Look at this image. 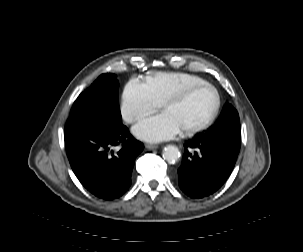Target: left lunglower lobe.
I'll use <instances>...</instances> for the list:
<instances>
[{
    "label": "left lung lower lobe",
    "mask_w": 303,
    "mask_h": 252,
    "mask_svg": "<svg viewBox=\"0 0 303 252\" xmlns=\"http://www.w3.org/2000/svg\"><path fill=\"white\" fill-rule=\"evenodd\" d=\"M178 169L181 190L192 198H202L218 190L230 175L240 143L208 140L198 136L184 145Z\"/></svg>",
    "instance_id": "left-lung-lower-lobe-1"
}]
</instances>
